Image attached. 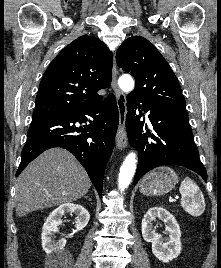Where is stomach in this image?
Returning a JSON list of instances; mask_svg holds the SVG:
<instances>
[{"instance_id": "1", "label": "stomach", "mask_w": 221, "mask_h": 268, "mask_svg": "<svg viewBox=\"0 0 221 268\" xmlns=\"http://www.w3.org/2000/svg\"><path fill=\"white\" fill-rule=\"evenodd\" d=\"M178 181L175 171L167 166L154 169L145 175L140 182V192L149 196H160L168 193Z\"/></svg>"}]
</instances>
